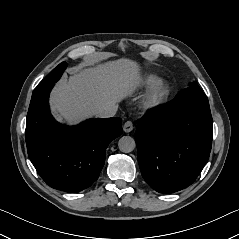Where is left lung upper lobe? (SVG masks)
<instances>
[{
  "label": "left lung upper lobe",
  "mask_w": 239,
  "mask_h": 239,
  "mask_svg": "<svg viewBox=\"0 0 239 239\" xmlns=\"http://www.w3.org/2000/svg\"><path fill=\"white\" fill-rule=\"evenodd\" d=\"M192 95L197 97H206L203 91L198 86L197 82H193L189 84V87L180 91L175 99H178L183 96Z\"/></svg>",
  "instance_id": "left-lung-upper-lobe-1"
}]
</instances>
